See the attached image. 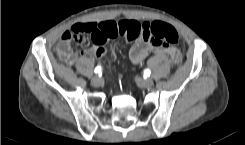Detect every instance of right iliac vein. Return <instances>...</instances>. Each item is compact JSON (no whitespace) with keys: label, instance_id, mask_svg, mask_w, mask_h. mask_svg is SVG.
<instances>
[{"label":"right iliac vein","instance_id":"right-iliac-vein-1","mask_svg":"<svg viewBox=\"0 0 245 145\" xmlns=\"http://www.w3.org/2000/svg\"><path fill=\"white\" fill-rule=\"evenodd\" d=\"M91 83L93 84V86L99 87L102 85V79L98 76H95L92 78Z\"/></svg>","mask_w":245,"mask_h":145}]
</instances>
